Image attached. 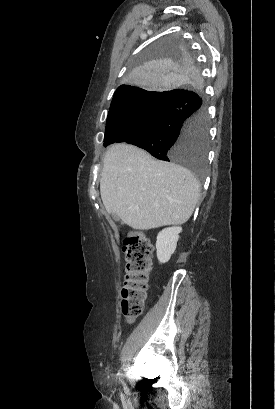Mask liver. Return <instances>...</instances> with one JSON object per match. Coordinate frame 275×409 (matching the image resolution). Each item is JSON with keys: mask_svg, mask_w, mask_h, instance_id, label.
I'll return each mask as SVG.
<instances>
[{"mask_svg": "<svg viewBox=\"0 0 275 409\" xmlns=\"http://www.w3.org/2000/svg\"><path fill=\"white\" fill-rule=\"evenodd\" d=\"M103 205L132 229L182 225L190 219L200 196L191 170L154 160L146 150L119 142L108 148L100 178Z\"/></svg>", "mask_w": 275, "mask_h": 409, "instance_id": "obj_1", "label": "liver"}]
</instances>
